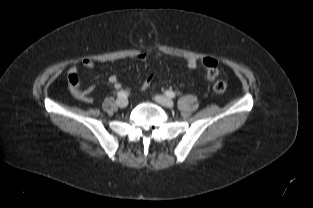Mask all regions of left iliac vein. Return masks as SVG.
<instances>
[{"label": "left iliac vein", "mask_w": 313, "mask_h": 208, "mask_svg": "<svg viewBox=\"0 0 313 208\" xmlns=\"http://www.w3.org/2000/svg\"><path fill=\"white\" fill-rule=\"evenodd\" d=\"M154 99L157 103L164 107L172 108L174 106V102L166 96L156 95Z\"/></svg>", "instance_id": "4c4485c4"}]
</instances>
